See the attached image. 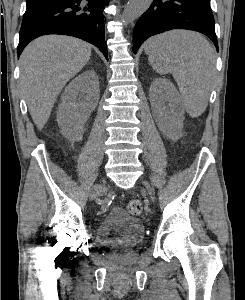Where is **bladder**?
I'll use <instances>...</instances> for the list:
<instances>
[{
	"instance_id": "obj_1",
	"label": "bladder",
	"mask_w": 245,
	"mask_h": 300,
	"mask_svg": "<svg viewBox=\"0 0 245 300\" xmlns=\"http://www.w3.org/2000/svg\"><path fill=\"white\" fill-rule=\"evenodd\" d=\"M143 222L123 210L114 209L97 225L96 235L101 244L112 248H129L139 244L144 237Z\"/></svg>"
}]
</instances>
